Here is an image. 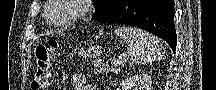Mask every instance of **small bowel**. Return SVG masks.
<instances>
[{"mask_svg":"<svg viewBox=\"0 0 216 90\" xmlns=\"http://www.w3.org/2000/svg\"><path fill=\"white\" fill-rule=\"evenodd\" d=\"M72 82L75 90H94L93 86L87 82L82 74L73 75Z\"/></svg>","mask_w":216,"mask_h":90,"instance_id":"c3829d8e","label":"small bowel"}]
</instances>
